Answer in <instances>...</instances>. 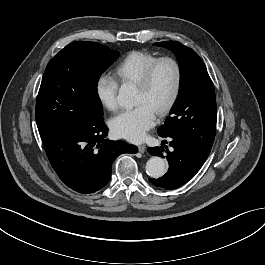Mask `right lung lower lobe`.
I'll list each match as a JSON object with an SVG mask.
<instances>
[{
    "mask_svg": "<svg viewBox=\"0 0 265 265\" xmlns=\"http://www.w3.org/2000/svg\"><path fill=\"white\" fill-rule=\"evenodd\" d=\"M107 134L102 118L43 142L53 169L66 186L83 194L96 192L109 182L117 156L137 152L134 145L105 139Z\"/></svg>",
    "mask_w": 265,
    "mask_h": 265,
    "instance_id": "98d812e1",
    "label": "right lung lower lobe"
}]
</instances>
